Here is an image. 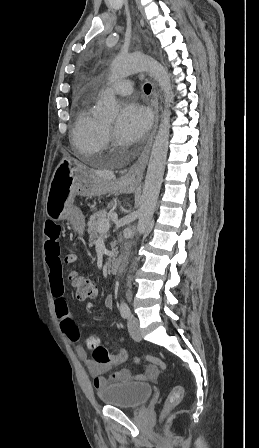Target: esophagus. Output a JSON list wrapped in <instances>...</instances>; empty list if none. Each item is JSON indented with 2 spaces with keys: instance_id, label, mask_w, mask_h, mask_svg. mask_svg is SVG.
<instances>
[{
  "instance_id": "esophagus-1",
  "label": "esophagus",
  "mask_w": 259,
  "mask_h": 448,
  "mask_svg": "<svg viewBox=\"0 0 259 448\" xmlns=\"http://www.w3.org/2000/svg\"><path fill=\"white\" fill-rule=\"evenodd\" d=\"M152 106L154 108V126L152 133L150 134L147 144L144 147L140 157L138 160L128 169V171L123 176V179L127 181L128 183L132 184H140L142 180V176L144 173V170L146 168L150 150L152 147V143L154 140V136L157 130L158 126V120H159V110H158V96L156 94L155 87H153V99H152Z\"/></svg>"
}]
</instances>
